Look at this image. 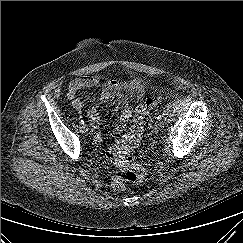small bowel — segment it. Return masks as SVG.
Here are the masks:
<instances>
[{
	"instance_id": "obj_1",
	"label": "small bowel",
	"mask_w": 243,
	"mask_h": 243,
	"mask_svg": "<svg viewBox=\"0 0 243 243\" xmlns=\"http://www.w3.org/2000/svg\"><path fill=\"white\" fill-rule=\"evenodd\" d=\"M88 88H95L101 100H111L116 102L115 111L120 112L119 122L115 127L116 131L123 130L131 117V101L140 102L146 89L140 80H107L103 81L97 75H86L72 80L68 85L67 97L73 109L80 111L83 108V102L79 93ZM93 131L95 132L94 142L96 145L102 143V137L98 133L101 126V118L95 108H89L86 112Z\"/></svg>"
}]
</instances>
